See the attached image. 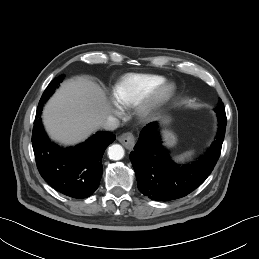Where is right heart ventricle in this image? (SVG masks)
Returning a JSON list of instances; mask_svg holds the SVG:
<instances>
[{"label":"right heart ventricle","mask_w":259,"mask_h":259,"mask_svg":"<svg viewBox=\"0 0 259 259\" xmlns=\"http://www.w3.org/2000/svg\"><path fill=\"white\" fill-rule=\"evenodd\" d=\"M165 81L166 79L159 75L128 74L114 86L112 96L119 107L127 108Z\"/></svg>","instance_id":"right-heart-ventricle-1"}]
</instances>
